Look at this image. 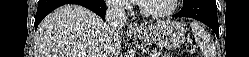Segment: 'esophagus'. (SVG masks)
<instances>
[{
    "mask_svg": "<svg viewBox=\"0 0 249 57\" xmlns=\"http://www.w3.org/2000/svg\"><path fill=\"white\" fill-rule=\"evenodd\" d=\"M128 30L130 32H136V31H139L140 30V27L137 23L133 22V23H130L129 26H128Z\"/></svg>",
    "mask_w": 249,
    "mask_h": 57,
    "instance_id": "obj_1",
    "label": "esophagus"
}]
</instances>
